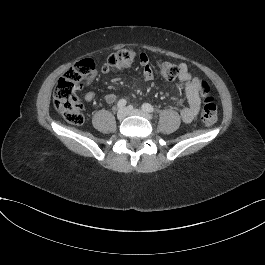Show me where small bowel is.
Masks as SVG:
<instances>
[{
  "label": "small bowel",
  "instance_id": "small-bowel-1",
  "mask_svg": "<svg viewBox=\"0 0 265 265\" xmlns=\"http://www.w3.org/2000/svg\"><path fill=\"white\" fill-rule=\"evenodd\" d=\"M139 65L141 68V74L144 80L151 81L154 78L152 68L149 64V61L145 55H141L139 59ZM96 71H92L90 76L84 79L83 85H87L95 77ZM179 80L183 83V93L186 97V104L181 105L180 116L183 122L192 123L197 119L200 107H201V98L199 90V78L193 76L190 72L188 66L185 63L179 64ZM95 98L94 91H88L84 95V99L87 102L93 101ZM118 100V96L113 93L105 95L104 101L106 104L111 105ZM178 103H181V100H177Z\"/></svg>",
  "mask_w": 265,
  "mask_h": 265
}]
</instances>
